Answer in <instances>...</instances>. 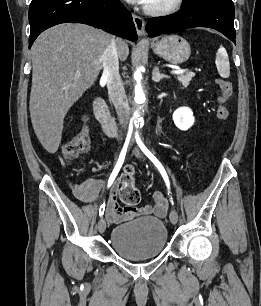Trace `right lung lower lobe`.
Masks as SVG:
<instances>
[{"instance_id": "98d812e1", "label": "right lung lower lobe", "mask_w": 261, "mask_h": 306, "mask_svg": "<svg viewBox=\"0 0 261 306\" xmlns=\"http://www.w3.org/2000/svg\"><path fill=\"white\" fill-rule=\"evenodd\" d=\"M29 22V48L41 32L65 22L83 23L137 40L131 13L119 0H32Z\"/></svg>"}]
</instances>
